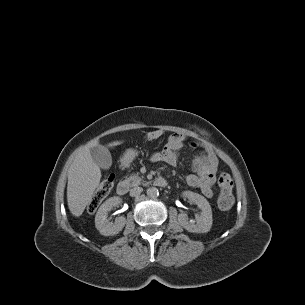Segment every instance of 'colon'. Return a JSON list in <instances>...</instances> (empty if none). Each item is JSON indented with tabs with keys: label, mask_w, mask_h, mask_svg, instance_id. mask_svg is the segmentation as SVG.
I'll use <instances>...</instances> for the list:
<instances>
[{
	"label": "colon",
	"mask_w": 305,
	"mask_h": 305,
	"mask_svg": "<svg viewBox=\"0 0 305 305\" xmlns=\"http://www.w3.org/2000/svg\"><path fill=\"white\" fill-rule=\"evenodd\" d=\"M163 133L164 131L161 129L151 131L147 134V139L149 141L156 140L160 138ZM114 181L115 177L113 175H109L103 179L88 203L87 209L89 212H95L99 205L107 198L113 188ZM217 185L219 189L217 205L220 210L228 211L234 204V197L232 194L233 182L231 176L228 173H221L218 177Z\"/></svg>",
	"instance_id": "obj_1"
}]
</instances>
